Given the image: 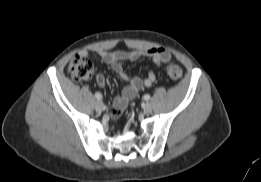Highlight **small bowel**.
<instances>
[{"label": "small bowel", "instance_id": "obj_1", "mask_svg": "<svg viewBox=\"0 0 261 182\" xmlns=\"http://www.w3.org/2000/svg\"><path fill=\"white\" fill-rule=\"evenodd\" d=\"M97 54L103 63L110 65L113 71L127 83L121 94L116 96L113 100L114 109L110 113V116L113 119L120 117L128 101L136 97L142 87L151 86L156 79V76L152 70H150L144 78L129 76L124 69V62H133L141 57H148L157 67H160L167 64L171 59L170 53L162 47H151L130 51L117 50L113 52L101 49L97 51ZM79 55L82 57H87L88 53L86 51H81ZM96 82L99 86L103 87L105 85V77L103 75H98L96 77Z\"/></svg>", "mask_w": 261, "mask_h": 182}]
</instances>
